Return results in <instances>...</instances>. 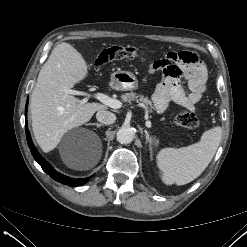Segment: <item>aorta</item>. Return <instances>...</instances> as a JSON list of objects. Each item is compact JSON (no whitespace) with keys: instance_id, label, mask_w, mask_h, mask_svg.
I'll use <instances>...</instances> for the list:
<instances>
[{"instance_id":"aorta-1","label":"aorta","mask_w":247,"mask_h":247,"mask_svg":"<svg viewBox=\"0 0 247 247\" xmlns=\"http://www.w3.org/2000/svg\"><path fill=\"white\" fill-rule=\"evenodd\" d=\"M135 135V131L131 127H121L117 134V141L121 144H129L133 141Z\"/></svg>"}]
</instances>
